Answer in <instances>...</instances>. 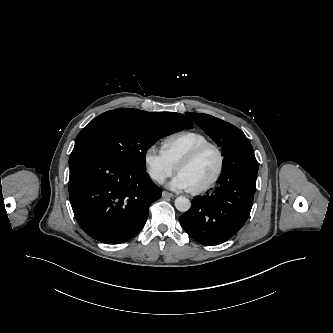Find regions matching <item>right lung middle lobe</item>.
<instances>
[{
	"instance_id": "dd1d6c3e",
	"label": "right lung middle lobe",
	"mask_w": 333,
	"mask_h": 333,
	"mask_svg": "<svg viewBox=\"0 0 333 333\" xmlns=\"http://www.w3.org/2000/svg\"><path fill=\"white\" fill-rule=\"evenodd\" d=\"M183 128L192 126L176 118L151 120L136 109H116L99 115L83 128L74 148L91 147L133 170L145 171L147 149L160 137Z\"/></svg>"
}]
</instances>
